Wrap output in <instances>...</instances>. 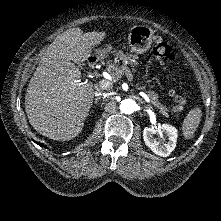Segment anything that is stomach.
<instances>
[{"label":"stomach","mask_w":221,"mask_h":221,"mask_svg":"<svg viewBox=\"0 0 221 221\" xmlns=\"http://www.w3.org/2000/svg\"><path fill=\"white\" fill-rule=\"evenodd\" d=\"M154 31L147 25L134 26L128 36V44L131 52L134 54H142L146 52L152 44ZM111 47L108 45L105 49H97L100 58L108 56Z\"/></svg>","instance_id":"1"}]
</instances>
